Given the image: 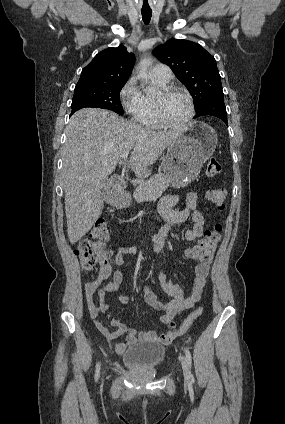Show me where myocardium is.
Masks as SVG:
<instances>
[{"instance_id": "obj_1", "label": "myocardium", "mask_w": 285, "mask_h": 424, "mask_svg": "<svg viewBox=\"0 0 285 424\" xmlns=\"http://www.w3.org/2000/svg\"><path fill=\"white\" fill-rule=\"evenodd\" d=\"M161 94L163 98H167L173 95L184 96L188 101L190 111L188 116L183 122L177 123V124L170 123L164 117L163 110H162V102L160 100H155L154 101L155 114L160 126L168 128V129H173V130H181L185 128L193 120L196 113L195 104H194L192 96L189 93L185 92L184 90H181L178 88H165Z\"/></svg>"}]
</instances>
